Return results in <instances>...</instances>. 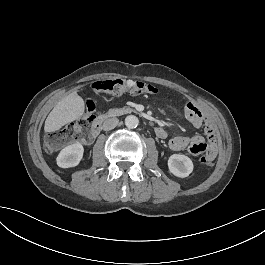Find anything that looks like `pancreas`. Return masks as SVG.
Masks as SVG:
<instances>
[{
	"mask_svg": "<svg viewBox=\"0 0 265 265\" xmlns=\"http://www.w3.org/2000/svg\"><path fill=\"white\" fill-rule=\"evenodd\" d=\"M131 112H136L135 109L132 108H110L107 111H105V116L106 117H115L117 115L121 114H127Z\"/></svg>",
	"mask_w": 265,
	"mask_h": 265,
	"instance_id": "pancreas-1",
	"label": "pancreas"
}]
</instances>
